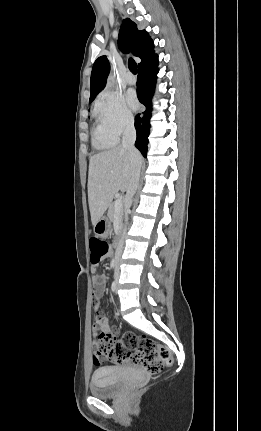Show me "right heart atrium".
Instances as JSON below:
<instances>
[{
	"mask_svg": "<svg viewBox=\"0 0 261 431\" xmlns=\"http://www.w3.org/2000/svg\"><path fill=\"white\" fill-rule=\"evenodd\" d=\"M96 110L106 129L116 137L134 125L133 115L127 109L123 98L111 90H104L98 95Z\"/></svg>",
	"mask_w": 261,
	"mask_h": 431,
	"instance_id": "right-heart-atrium-1",
	"label": "right heart atrium"
}]
</instances>
